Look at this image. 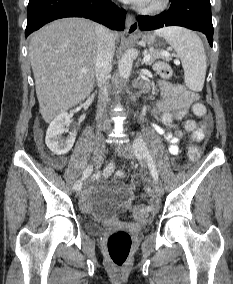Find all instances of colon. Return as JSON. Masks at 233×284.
<instances>
[{"mask_svg": "<svg viewBox=\"0 0 233 284\" xmlns=\"http://www.w3.org/2000/svg\"><path fill=\"white\" fill-rule=\"evenodd\" d=\"M155 70L162 78L168 79L173 75L172 69L169 64L165 62H157L155 65ZM193 113L196 116L204 117L206 116V108L201 103H195L193 105ZM195 123L193 121L187 122L185 124V129L189 132L194 130ZM201 155V149L196 144L188 145V156L191 160H197ZM103 177H115L118 180L124 178V172L116 170L113 164L107 165L102 171ZM149 210L145 205H140L134 208L133 217L138 220H143L148 217ZM132 246V239L130 234L124 230H117L110 234L107 241V249L109 257L112 263L117 267H122L126 263L130 249Z\"/></svg>", "mask_w": 233, "mask_h": 284, "instance_id": "colon-1", "label": "colon"}]
</instances>
